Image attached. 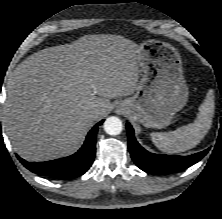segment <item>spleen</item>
Listing matches in <instances>:
<instances>
[{
	"label": "spleen",
	"mask_w": 222,
	"mask_h": 219,
	"mask_svg": "<svg viewBox=\"0 0 222 219\" xmlns=\"http://www.w3.org/2000/svg\"><path fill=\"white\" fill-rule=\"evenodd\" d=\"M214 108V94L209 90L193 123L171 132H153L152 142L166 153H180L195 147L211 128Z\"/></svg>",
	"instance_id": "spleen-1"
}]
</instances>
